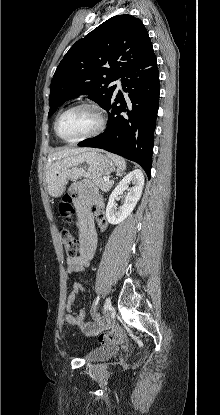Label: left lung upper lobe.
<instances>
[{
	"mask_svg": "<svg viewBox=\"0 0 220 415\" xmlns=\"http://www.w3.org/2000/svg\"><path fill=\"white\" fill-rule=\"evenodd\" d=\"M154 55L148 32L140 19L114 16L78 40L58 65L49 96L53 115L65 100L86 94L105 108L116 86L109 84Z\"/></svg>",
	"mask_w": 220,
	"mask_h": 415,
	"instance_id": "5c2ea615",
	"label": "left lung upper lobe"
}]
</instances>
